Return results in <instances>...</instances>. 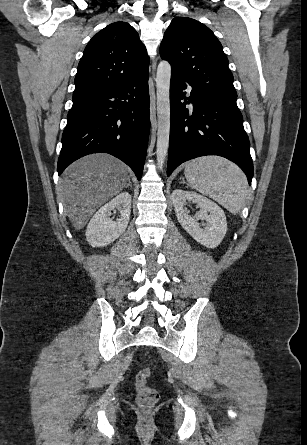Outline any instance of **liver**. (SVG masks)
I'll return each instance as SVG.
<instances>
[{
  "label": "liver",
  "mask_w": 307,
  "mask_h": 445,
  "mask_svg": "<svg viewBox=\"0 0 307 445\" xmlns=\"http://www.w3.org/2000/svg\"><path fill=\"white\" fill-rule=\"evenodd\" d=\"M127 166L111 154H88L72 162L58 182L71 223L84 229L96 208L130 184Z\"/></svg>",
  "instance_id": "6515ba94"
}]
</instances>
